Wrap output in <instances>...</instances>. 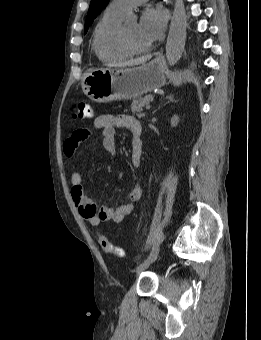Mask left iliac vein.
<instances>
[{"label":"left iliac vein","instance_id":"left-iliac-vein-1","mask_svg":"<svg viewBox=\"0 0 261 340\" xmlns=\"http://www.w3.org/2000/svg\"><path fill=\"white\" fill-rule=\"evenodd\" d=\"M153 261H144L141 264H139L136 268V273H140L144 270H146L152 263Z\"/></svg>","mask_w":261,"mask_h":340}]
</instances>
